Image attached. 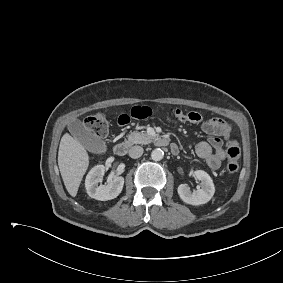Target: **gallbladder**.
Returning a JSON list of instances; mask_svg holds the SVG:
<instances>
[{"label":"gallbladder","mask_w":283,"mask_h":283,"mask_svg":"<svg viewBox=\"0 0 283 283\" xmlns=\"http://www.w3.org/2000/svg\"><path fill=\"white\" fill-rule=\"evenodd\" d=\"M68 129L73 137L88 151L92 153H104L107 150L105 142L80 120L72 121Z\"/></svg>","instance_id":"bac80fb5"}]
</instances>
